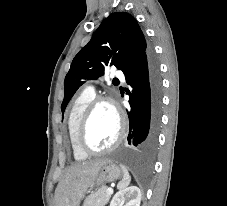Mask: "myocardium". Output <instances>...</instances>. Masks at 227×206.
I'll return each instance as SVG.
<instances>
[{"label":"myocardium","mask_w":227,"mask_h":206,"mask_svg":"<svg viewBox=\"0 0 227 206\" xmlns=\"http://www.w3.org/2000/svg\"><path fill=\"white\" fill-rule=\"evenodd\" d=\"M100 104H108L114 109L118 118L119 130H118V135L116 139L110 146L101 150H95L88 145L86 140V134H87V129H88L91 116L95 111V109ZM125 130H126L125 118L117 102L109 96H97V97H94L89 102V104L86 106V108L84 109L80 117V120L77 126V131H76V144L78 148L87 155H102L114 150L116 147L120 145V143L124 138Z\"/></svg>","instance_id":"myocardium-1"}]
</instances>
